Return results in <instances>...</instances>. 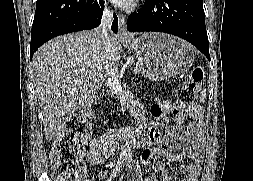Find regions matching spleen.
<instances>
[{"label":"spleen","mask_w":253,"mask_h":181,"mask_svg":"<svg viewBox=\"0 0 253 181\" xmlns=\"http://www.w3.org/2000/svg\"><path fill=\"white\" fill-rule=\"evenodd\" d=\"M201 95H202V97L200 98V100H201L202 102H204L205 96H206V90H203V91L201 92Z\"/></svg>","instance_id":"obj_1"}]
</instances>
